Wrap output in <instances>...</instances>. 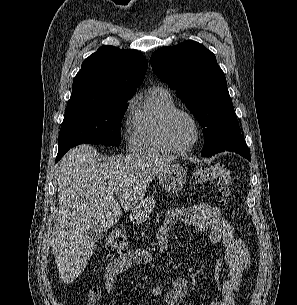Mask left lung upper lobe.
Returning a JSON list of instances; mask_svg holds the SVG:
<instances>
[{
	"label": "left lung upper lobe",
	"instance_id": "left-lung-upper-lobe-1",
	"mask_svg": "<svg viewBox=\"0 0 297 305\" xmlns=\"http://www.w3.org/2000/svg\"><path fill=\"white\" fill-rule=\"evenodd\" d=\"M154 73L169 83L203 127L202 156L249 150L241 135L225 75L215 55L195 41L156 50Z\"/></svg>",
	"mask_w": 297,
	"mask_h": 305
}]
</instances>
